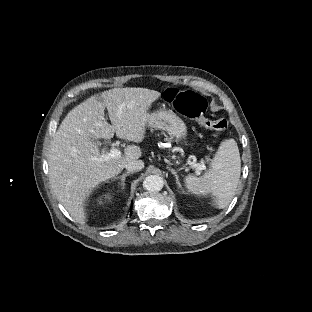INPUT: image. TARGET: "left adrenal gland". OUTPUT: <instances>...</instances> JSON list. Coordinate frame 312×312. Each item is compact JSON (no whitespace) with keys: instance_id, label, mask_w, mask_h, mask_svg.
I'll list each match as a JSON object with an SVG mask.
<instances>
[{"instance_id":"obj_1","label":"left adrenal gland","mask_w":312,"mask_h":312,"mask_svg":"<svg viewBox=\"0 0 312 312\" xmlns=\"http://www.w3.org/2000/svg\"><path fill=\"white\" fill-rule=\"evenodd\" d=\"M170 172L173 174V176L175 177V180H176V184L179 186V188H181V185L178 181V176L176 175L177 172H175L174 170L170 169Z\"/></svg>"}]
</instances>
